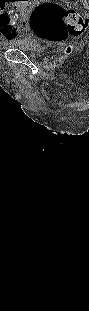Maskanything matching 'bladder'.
Returning a JSON list of instances; mask_svg holds the SVG:
<instances>
[{
  "label": "bladder",
  "instance_id": "31cf9c89",
  "mask_svg": "<svg viewBox=\"0 0 89 311\" xmlns=\"http://www.w3.org/2000/svg\"><path fill=\"white\" fill-rule=\"evenodd\" d=\"M12 47L32 54H39L44 49L42 44L38 43L31 37H26L23 40L13 42Z\"/></svg>",
  "mask_w": 89,
  "mask_h": 311
}]
</instances>
